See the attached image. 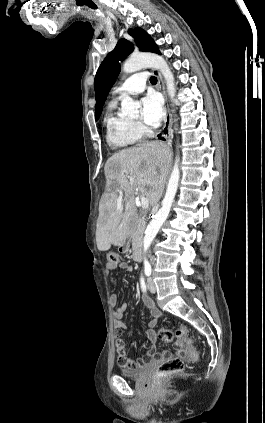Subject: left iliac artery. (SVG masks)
<instances>
[{"label": "left iliac artery", "mask_w": 265, "mask_h": 423, "mask_svg": "<svg viewBox=\"0 0 265 423\" xmlns=\"http://www.w3.org/2000/svg\"><path fill=\"white\" fill-rule=\"evenodd\" d=\"M144 271H145L146 276H150V274H151V265L149 264V262H145V269H144Z\"/></svg>", "instance_id": "1"}]
</instances>
